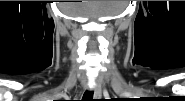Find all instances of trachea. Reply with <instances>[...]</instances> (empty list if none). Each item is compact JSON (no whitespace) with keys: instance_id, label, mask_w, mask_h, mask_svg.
Wrapping results in <instances>:
<instances>
[{"instance_id":"obj_1","label":"trachea","mask_w":185,"mask_h":101,"mask_svg":"<svg viewBox=\"0 0 185 101\" xmlns=\"http://www.w3.org/2000/svg\"><path fill=\"white\" fill-rule=\"evenodd\" d=\"M93 100V92L86 91L83 95V101H92Z\"/></svg>"}]
</instances>
